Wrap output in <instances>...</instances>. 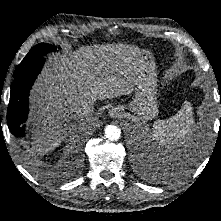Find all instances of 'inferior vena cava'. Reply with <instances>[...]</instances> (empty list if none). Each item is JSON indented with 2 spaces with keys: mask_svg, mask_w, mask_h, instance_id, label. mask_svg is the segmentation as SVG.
<instances>
[{
  "mask_svg": "<svg viewBox=\"0 0 221 221\" xmlns=\"http://www.w3.org/2000/svg\"><path fill=\"white\" fill-rule=\"evenodd\" d=\"M94 111V102L91 100H81L74 107V112L80 116H89Z\"/></svg>",
  "mask_w": 221,
  "mask_h": 221,
  "instance_id": "obj_1",
  "label": "inferior vena cava"
}]
</instances>
